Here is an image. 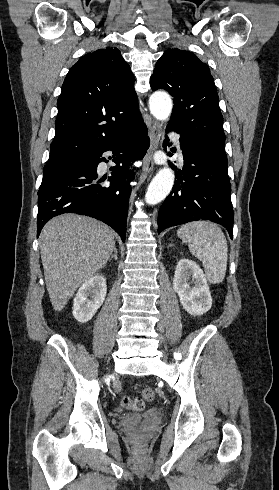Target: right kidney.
I'll use <instances>...</instances> for the list:
<instances>
[{
	"mask_svg": "<svg viewBox=\"0 0 279 490\" xmlns=\"http://www.w3.org/2000/svg\"><path fill=\"white\" fill-rule=\"evenodd\" d=\"M107 294L106 278L94 274L79 288L73 300V316L77 322H89L102 306ZM90 298V300H89Z\"/></svg>",
	"mask_w": 279,
	"mask_h": 490,
	"instance_id": "ca27d5eb",
	"label": "right kidney"
}]
</instances>
